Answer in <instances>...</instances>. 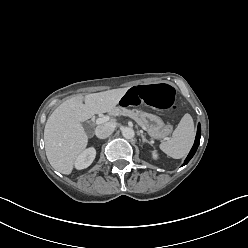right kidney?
<instances>
[{"label": "right kidney", "mask_w": 248, "mask_h": 248, "mask_svg": "<svg viewBox=\"0 0 248 248\" xmlns=\"http://www.w3.org/2000/svg\"><path fill=\"white\" fill-rule=\"evenodd\" d=\"M96 151L94 148H88L83 151L75 161V167L78 170L87 168L90 166L95 159Z\"/></svg>", "instance_id": "1"}]
</instances>
